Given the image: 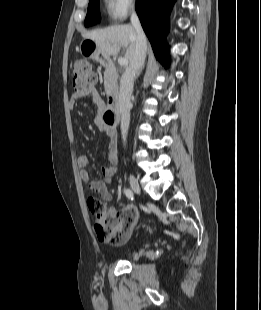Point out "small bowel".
<instances>
[{
    "label": "small bowel",
    "instance_id": "small-bowel-1",
    "mask_svg": "<svg viewBox=\"0 0 261 310\" xmlns=\"http://www.w3.org/2000/svg\"><path fill=\"white\" fill-rule=\"evenodd\" d=\"M89 97L93 101V103L101 108L104 104L103 99L99 93V91L95 87H89L83 91L76 92L69 101V105L71 108L74 107L75 101L78 98ZM96 125L98 129L104 133L109 140L108 150H107V161L108 164L102 167V174L104 176V180H90V175L87 170V166L89 165L88 156L82 154L77 158V164L79 167V175L82 181L88 183L90 190L96 192L103 200L111 201L112 194L107 189V183L111 182L113 176L117 173V148H116V136L115 132L106 127L99 118L96 119ZM118 213L115 208H110L107 212L108 215L114 216Z\"/></svg>",
    "mask_w": 261,
    "mask_h": 310
}]
</instances>
